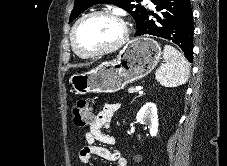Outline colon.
I'll list each match as a JSON object with an SVG mask.
<instances>
[{
	"label": "colon",
	"instance_id": "colon-1",
	"mask_svg": "<svg viewBox=\"0 0 227 166\" xmlns=\"http://www.w3.org/2000/svg\"><path fill=\"white\" fill-rule=\"evenodd\" d=\"M73 123L76 128H84L93 121V110L86 98H79L76 100L73 109Z\"/></svg>",
	"mask_w": 227,
	"mask_h": 166
}]
</instances>
